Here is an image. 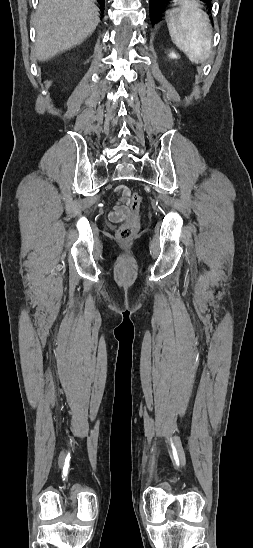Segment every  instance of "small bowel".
I'll return each mask as SVG.
<instances>
[{
    "mask_svg": "<svg viewBox=\"0 0 253 548\" xmlns=\"http://www.w3.org/2000/svg\"><path fill=\"white\" fill-rule=\"evenodd\" d=\"M116 192L121 195V201L109 212V218L113 222H120L129 216L128 208L129 189L125 185L116 187Z\"/></svg>",
    "mask_w": 253,
    "mask_h": 548,
    "instance_id": "small-bowel-1",
    "label": "small bowel"
}]
</instances>
